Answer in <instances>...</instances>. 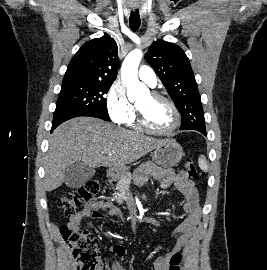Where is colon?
I'll use <instances>...</instances> for the list:
<instances>
[{
  "mask_svg": "<svg viewBox=\"0 0 267 270\" xmlns=\"http://www.w3.org/2000/svg\"><path fill=\"white\" fill-rule=\"evenodd\" d=\"M185 171L189 180L197 181L199 173L192 158L185 160ZM99 190L98 183L89 181L79 187L65 191L59 199V207L68 216H73L78 208L89 201ZM61 234L76 261L79 270H102L100 242L95 234L88 229L61 226ZM182 256L174 253L169 262V270H181Z\"/></svg>",
  "mask_w": 267,
  "mask_h": 270,
  "instance_id": "1",
  "label": "colon"
}]
</instances>
